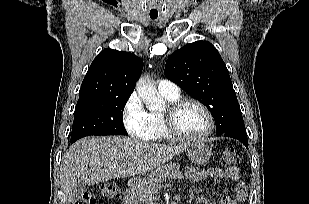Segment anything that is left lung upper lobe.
Wrapping results in <instances>:
<instances>
[{
  "instance_id": "5c2ea615",
  "label": "left lung upper lobe",
  "mask_w": 309,
  "mask_h": 204,
  "mask_svg": "<svg viewBox=\"0 0 309 204\" xmlns=\"http://www.w3.org/2000/svg\"><path fill=\"white\" fill-rule=\"evenodd\" d=\"M164 73L210 110L217 134L244 125L228 69L208 41H196L175 51L168 57Z\"/></svg>"
}]
</instances>
